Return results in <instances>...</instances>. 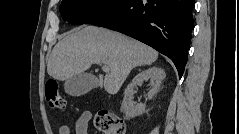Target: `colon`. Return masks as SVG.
<instances>
[{"label": "colon", "instance_id": "1", "mask_svg": "<svg viewBox=\"0 0 239 134\" xmlns=\"http://www.w3.org/2000/svg\"><path fill=\"white\" fill-rule=\"evenodd\" d=\"M45 99L50 107L64 110L66 102L62 97L56 80L49 79L45 84ZM95 128L104 134H125L124 122L114 113L100 111L93 118Z\"/></svg>", "mask_w": 239, "mask_h": 134}]
</instances>
